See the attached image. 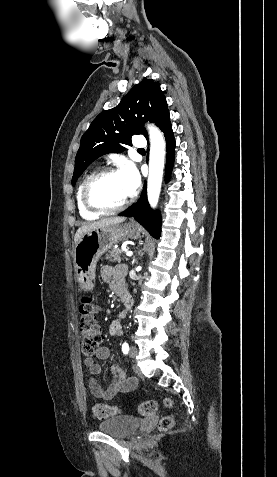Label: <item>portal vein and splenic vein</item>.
Here are the masks:
<instances>
[{
	"label": "portal vein and splenic vein",
	"instance_id": "portal-vein-and-splenic-vein-1",
	"mask_svg": "<svg viewBox=\"0 0 277 477\" xmlns=\"http://www.w3.org/2000/svg\"><path fill=\"white\" fill-rule=\"evenodd\" d=\"M125 254H126V256H128V257H131V256L133 255V253H132L131 251H129V250H126Z\"/></svg>",
	"mask_w": 277,
	"mask_h": 477
}]
</instances>
